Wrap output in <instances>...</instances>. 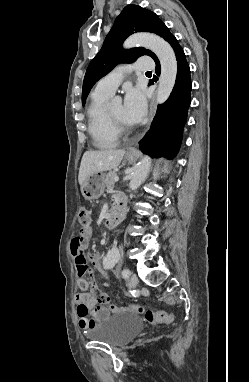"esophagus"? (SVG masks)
<instances>
[{
  "label": "esophagus",
  "mask_w": 249,
  "mask_h": 382,
  "mask_svg": "<svg viewBox=\"0 0 249 382\" xmlns=\"http://www.w3.org/2000/svg\"><path fill=\"white\" fill-rule=\"evenodd\" d=\"M155 113H156V108H155V101L153 99L151 101V103H150V111H149V121H150V123L153 120V118L155 116ZM128 153L135 154V153H137V150L135 148H131V149L128 150Z\"/></svg>",
  "instance_id": "1"
}]
</instances>
